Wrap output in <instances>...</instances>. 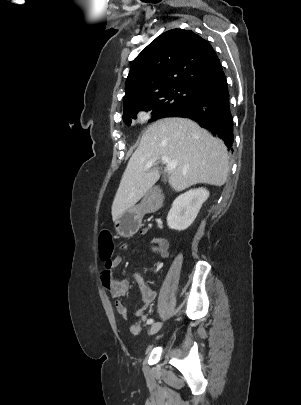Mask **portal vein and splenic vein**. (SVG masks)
<instances>
[{"mask_svg":"<svg viewBox=\"0 0 301 405\" xmlns=\"http://www.w3.org/2000/svg\"><path fill=\"white\" fill-rule=\"evenodd\" d=\"M157 160H161L162 162L167 164V172L170 173L172 172V170H174L177 166L178 161L177 160H171L170 158L166 157V156H161V157H155L151 160H149L146 163V168H151L153 166V164L157 161Z\"/></svg>","mask_w":301,"mask_h":405,"instance_id":"1","label":"portal vein and splenic vein"}]
</instances>
